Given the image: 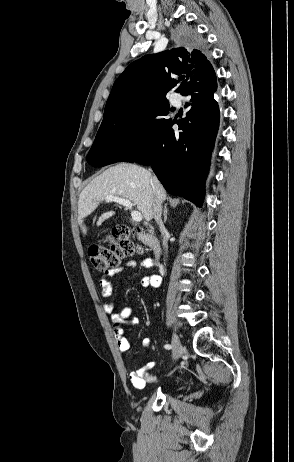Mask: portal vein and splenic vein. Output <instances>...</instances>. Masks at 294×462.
Wrapping results in <instances>:
<instances>
[{
    "instance_id": "18ae733b",
    "label": "portal vein and splenic vein",
    "mask_w": 294,
    "mask_h": 462,
    "mask_svg": "<svg viewBox=\"0 0 294 462\" xmlns=\"http://www.w3.org/2000/svg\"><path fill=\"white\" fill-rule=\"evenodd\" d=\"M106 202H117L123 206H125L127 209L131 210V217L133 219V221L135 222H140L142 221V214L139 212V211H136V210H133L132 209V202L128 199H124V198H120V197H117V196H112V195H109L105 198Z\"/></svg>"
}]
</instances>
